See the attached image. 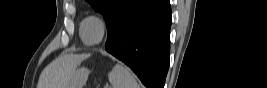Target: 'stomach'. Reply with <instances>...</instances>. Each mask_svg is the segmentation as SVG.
Instances as JSON below:
<instances>
[{"mask_svg": "<svg viewBox=\"0 0 267 88\" xmlns=\"http://www.w3.org/2000/svg\"><path fill=\"white\" fill-rule=\"evenodd\" d=\"M88 75L89 70L86 68H80L76 70L65 88H83L84 84L87 81Z\"/></svg>", "mask_w": 267, "mask_h": 88, "instance_id": "obj_1", "label": "stomach"}]
</instances>
